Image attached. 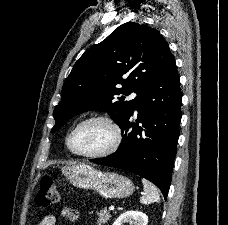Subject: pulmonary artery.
<instances>
[{
  "label": "pulmonary artery",
  "mask_w": 228,
  "mask_h": 225,
  "mask_svg": "<svg viewBox=\"0 0 228 225\" xmlns=\"http://www.w3.org/2000/svg\"><path fill=\"white\" fill-rule=\"evenodd\" d=\"M135 97H137V94H136V93H133V94L131 95V99H134Z\"/></svg>",
  "instance_id": "pulmonary-artery-1"
}]
</instances>
